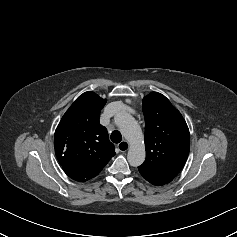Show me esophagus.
<instances>
[{
    "instance_id": "esophagus-1",
    "label": "esophagus",
    "mask_w": 237,
    "mask_h": 237,
    "mask_svg": "<svg viewBox=\"0 0 237 237\" xmlns=\"http://www.w3.org/2000/svg\"><path fill=\"white\" fill-rule=\"evenodd\" d=\"M119 151L126 152L129 149V143L127 141H122L117 145Z\"/></svg>"
}]
</instances>
